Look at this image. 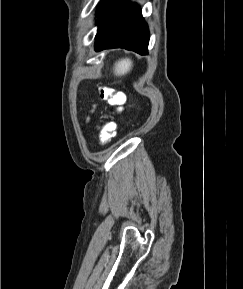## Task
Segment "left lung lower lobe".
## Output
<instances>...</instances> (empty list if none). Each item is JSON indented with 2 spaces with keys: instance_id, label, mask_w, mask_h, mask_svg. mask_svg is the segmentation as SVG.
Returning a JSON list of instances; mask_svg holds the SVG:
<instances>
[{
  "instance_id": "left-lung-lower-lobe-1",
  "label": "left lung lower lobe",
  "mask_w": 243,
  "mask_h": 289,
  "mask_svg": "<svg viewBox=\"0 0 243 289\" xmlns=\"http://www.w3.org/2000/svg\"><path fill=\"white\" fill-rule=\"evenodd\" d=\"M97 16L100 20L95 37L96 51L120 47L147 54L149 30L136 4L126 0H105Z\"/></svg>"
}]
</instances>
